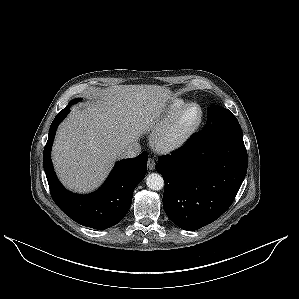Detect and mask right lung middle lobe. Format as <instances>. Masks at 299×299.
Returning <instances> with one entry per match:
<instances>
[{
    "label": "right lung middle lobe",
    "mask_w": 299,
    "mask_h": 299,
    "mask_svg": "<svg viewBox=\"0 0 299 299\" xmlns=\"http://www.w3.org/2000/svg\"><path fill=\"white\" fill-rule=\"evenodd\" d=\"M80 100H81L80 98H77V99L72 100L70 103L73 105V104L78 103Z\"/></svg>",
    "instance_id": "1"
}]
</instances>
